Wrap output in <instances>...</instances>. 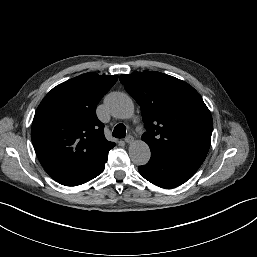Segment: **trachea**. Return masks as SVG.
<instances>
[{"label": "trachea", "mask_w": 257, "mask_h": 257, "mask_svg": "<svg viewBox=\"0 0 257 257\" xmlns=\"http://www.w3.org/2000/svg\"><path fill=\"white\" fill-rule=\"evenodd\" d=\"M112 135L116 138H124L126 135V127L124 124H117L112 132Z\"/></svg>", "instance_id": "3493384b"}]
</instances>
